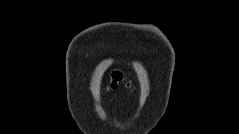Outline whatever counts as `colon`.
<instances>
[{"instance_id":"1","label":"colon","mask_w":239,"mask_h":134,"mask_svg":"<svg viewBox=\"0 0 239 134\" xmlns=\"http://www.w3.org/2000/svg\"><path fill=\"white\" fill-rule=\"evenodd\" d=\"M122 81V76L119 72H114L112 75V86L116 87Z\"/></svg>"}]
</instances>
